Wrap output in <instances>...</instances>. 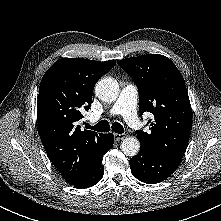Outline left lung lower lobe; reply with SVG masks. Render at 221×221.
Wrapping results in <instances>:
<instances>
[{
	"mask_svg": "<svg viewBox=\"0 0 221 221\" xmlns=\"http://www.w3.org/2000/svg\"><path fill=\"white\" fill-rule=\"evenodd\" d=\"M182 159L167 157L140 148L139 153L130 161L132 174L140 181L148 184L162 182L180 165Z\"/></svg>",
	"mask_w": 221,
	"mask_h": 221,
	"instance_id": "1",
	"label": "left lung lower lobe"
}]
</instances>
